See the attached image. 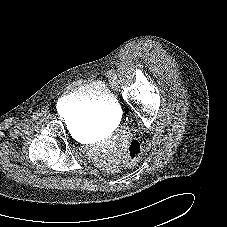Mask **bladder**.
Returning a JSON list of instances; mask_svg holds the SVG:
<instances>
[{
    "instance_id": "31cf9c89",
    "label": "bladder",
    "mask_w": 227,
    "mask_h": 227,
    "mask_svg": "<svg viewBox=\"0 0 227 227\" xmlns=\"http://www.w3.org/2000/svg\"><path fill=\"white\" fill-rule=\"evenodd\" d=\"M60 107L72 112L73 124L79 131L98 130L109 126L120 108L107 85L93 81L65 95Z\"/></svg>"
}]
</instances>
